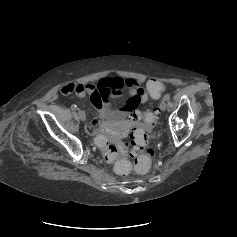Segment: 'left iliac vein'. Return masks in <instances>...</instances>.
<instances>
[{
    "label": "left iliac vein",
    "mask_w": 237,
    "mask_h": 237,
    "mask_svg": "<svg viewBox=\"0 0 237 237\" xmlns=\"http://www.w3.org/2000/svg\"><path fill=\"white\" fill-rule=\"evenodd\" d=\"M166 108H167V103H166L165 101H162V102L160 103V109H161V111H165Z\"/></svg>",
    "instance_id": "4c4485c4"
}]
</instances>
